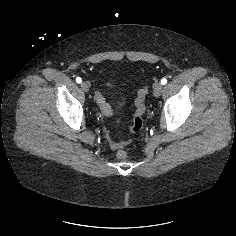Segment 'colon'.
<instances>
[{
	"label": "colon",
	"mask_w": 236,
	"mask_h": 236,
	"mask_svg": "<svg viewBox=\"0 0 236 236\" xmlns=\"http://www.w3.org/2000/svg\"><path fill=\"white\" fill-rule=\"evenodd\" d=\"M147 92V89L144 87L139 91L138 99H137V109L133 117V122L129 127V130L133 133H136L142 129L143 126V113H144V97ZM117 156L120 159H125L128 156V153L124 149H120L117 152Z\"/></svg>",
	"instance_id": "obj_1"
}]
</instances>
